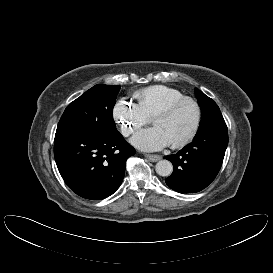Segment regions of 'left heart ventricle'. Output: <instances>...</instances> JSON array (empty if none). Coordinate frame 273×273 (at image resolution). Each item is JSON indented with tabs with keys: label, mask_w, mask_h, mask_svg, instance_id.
<instances>
[{
	"label": "left heart ventricle",
	"mask_w": 273,
	"mask_h": 273,
	"mask_svg": "<svg viewBox=\"0 0 273 273\" xmlns=\"http://www.w3.org/2000/svg\"><path fill=\"white\" fill-rule=\"evenodd\" d=\"M196 120L195 107L190 102L180 104L172 114L154 122L170 144L184 140L192 131Z\"/></svg>",
	"instance_id": "left-heart-ventricle-1"
}]
</instances>
